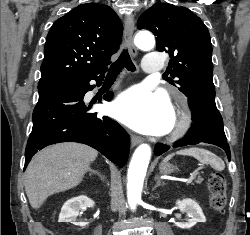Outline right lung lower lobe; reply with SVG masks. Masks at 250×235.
Here are the masks:
<instances>
[{
  "instance_id": "1",
  "label": "right lung lower lobe",
  "mask_w": 250,
  "mask_h": 235,
  "mask_svg": "<svg viewBox=\"0 0 250 235\" xmlns=\"http://www.w3.org/2000/svg\"><path fill=\"white\" fill-rule=\"evenodd\" d=\"M104 74L39 89L24 169L38 150L60 142L87 144L119 167L125 165L130 148L128 134L109 117H98L97 113L89 112L91 106L83 101L85 93L94 88L89 84L90 80L102 82ZM103 98L110 101L112 93Z\"/></svg>"
}]
</instances>
